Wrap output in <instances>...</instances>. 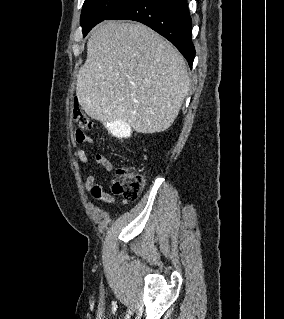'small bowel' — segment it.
Here are the masks:
<instances>
[{
	"instance_id": "1",
	"label": "small bowel",
	"mask_w": 284,
	"mask_h": 319,
	"mask_svg": "<svg viewBox=\"0 0 284 319\" xmlns=\"http://www.w3.org/2000/svg\"><path fill=\"white\" fill-rule=\"evenodd\" d=\"M74 139L76 143L83 145V147H77L75 150L77 158L83 163L89 162L90 156L84 147L86 144L91 143L92 140L81 130H76L74 132ZM95 163L107 172H110L113 169L111 161L103 154L98 153L95 155ZM84 186L94 199L108 205L114 202L113 196L105 192L103 184L97 181L94 174H90L86 178Z\"/></svg>"
}]
</instances>
